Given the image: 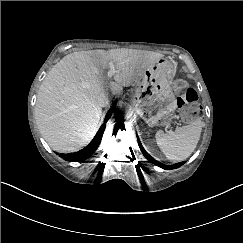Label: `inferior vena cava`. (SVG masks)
I'll return each instance as SVG.
<instances>
[{
	"label": "inferior vena cava",
	"instance_id": "obj_1",
	"mask_svg": "<svg viewBox=\"0 0 243 243\" xmlns=\"http://www.w3.org/2000/svg\"><path fill=\"white\" fill-rule=\"evenodd\" d=\"M97 102L98 104L103 107L109 104V97H108V93L105 91H102L100 93L97 94L96 96Z\"/></svg>",
	"mask_w": 243,
	"mask_h": 243
}]
</instances>
